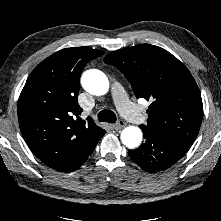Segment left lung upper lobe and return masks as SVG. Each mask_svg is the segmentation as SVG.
Here are the masks:
<instances>
[{"label":"left lung upper lobe","instance_id":"1","mask_svg":"<svg viewBox=\"0 0 221 221\" xmlns=\"http://www.w3.org/2000/svg\"><path fill=\"white\" fill-rule=\"evenodd\" d=\"M104 62L129 80L137 98L151 102L141 128L187 146L195 141L203 117L198 86L188 69L171 53L141 44L109 53Z\"/></svg>","mask_w":221,"mask_h":221}]
</instances>
